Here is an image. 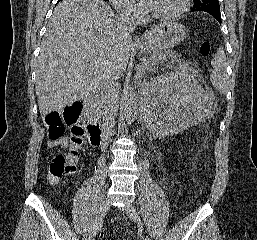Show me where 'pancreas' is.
<instances>
[{
    "label": "pancreas",
    "instance_id": "obj_1",
    "mask_svg": "<svg viewBox=\"0 0 257 240\" xmlns=\"http://www.w3.org/2000/svg\"><path fill=\"white\" fill-rule=\"evenodd\" d=\"M181 55L171 51L169 52H161L159 54H156L154 56H152L150 59H148L147 61L143 62L142 65L140 66V68L138 69V73H137V77L139 78H146L147 75L158 68L159 65L164 64L165 62L170 60L171 58H179ZM104 108V101L103 99L100 97L95 101L94 104V110L96 114H101L102 113V109Z\"/></svg>",
    "mask_w": 257,
    "mask_h": 240
}]
</instances>
